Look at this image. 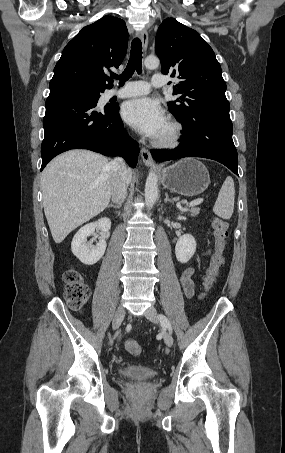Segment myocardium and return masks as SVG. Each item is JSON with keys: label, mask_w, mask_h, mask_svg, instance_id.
<instances>
[{"label": "myocardium", "mask_w": 285, "mask_h": 453, "mask_svg": "<svg viewBox=\"0 0 285 453\" xmlns=\"http://www.w3.org/2000/svg\"><path fill=\"white\" fill-rule=\"evenodd\" d=\"M168 133L163 137H158L154 141V145L160 148H170L177 146L182 138V125L175 119L167 120Z\"/></svg>", "instance_id": "f54148a6"}]
</instances>
